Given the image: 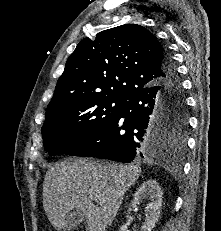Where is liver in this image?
<instances>
[{
	"instance_id": "1",
	"label": "liver",
	"mask_w": 221,
	"mask_h": 231,
	"mask_svg": "<svg viewBox=\"0 0 221 231\" xmlns=\"http://www.w3.org/2000/svg\"><path fill=\"white\" fill-rule=\"evenodd\" d=\"M141 172L138 165L87 159L55 163L43 182V207L50 223L60 230L69 213L78 210L86 220V231H106Z\"/></svg>"
}]
</instances>
